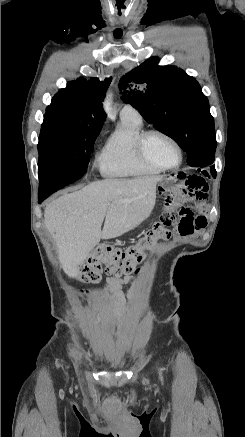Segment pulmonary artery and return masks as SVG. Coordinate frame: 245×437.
Segmentation results:
<instances>
[{
  "label": "pulmonary artery",
  "instance_id": "1",
  "mask_svg": "<svg viewBox=\"0 0 245 437\" xmlns=\"http://www.w3.org/2000/svg\"><path fill=\"white\" fill-rule=\"evenodd\" d=\"M121 117L141 119L139 112L130 105H125L120 112Z\"/></svg>",
  "mask_w": 245,
  "mask_h": 437
}]
</instances>
